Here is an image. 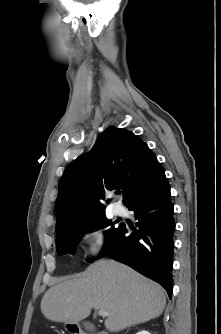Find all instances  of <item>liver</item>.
I'll list each match as a JSON object with an SVG mask.
<instances>
[{"label": "liver", "instance_id": "1", "mask_svg": "<svg viewBox=\"0 0 221 334\" xmlns=\"http://www.w3.org/2000/svg\"><path fill=\"white\" fill-rule=\"evenodd\" d=\"M165 305L160 285L127 265L101 259L48 289L41 312L51 321L75 324L88 317L92 308L104 309L109 313L105 328L119 332L159 317Z\"/></svg>", "mask_w": 221, "mask_h": 334}]
</instances>
